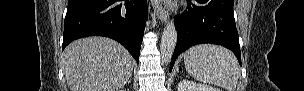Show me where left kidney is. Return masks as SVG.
<instances>
[{"label":"left kidney","mask_w":304,"mask_h":91,"mask_svg":"<svg viewBox=\"0 0 304 91\" xmlns=\"http://www.w3.org/2000/svg\"><path fill=\"white\" fill-rule=\"evenodd\" d=\"M178 91H220V89L215 88L210 85L197 84L190 80H182L178 83Z\"/></svg>","instance_id":"5707ae66"}]
</instances>
